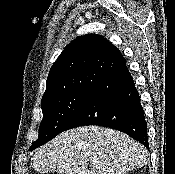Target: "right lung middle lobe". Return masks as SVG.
Masks as SVG:
<instances>
[{"label":"right lung middle lobe","instance_id":"1","mask_svg":"<svg viewBox=\"0 0 175 174\" xmlns=\"http://www.w3.org/2000/svg\"><path fill=\"white\" fill-rule=\"evenodd\" d=\"M91 90L92 88H85L68 91L42 100L43 119L39 127V137L30 150L45 144L65 131Z\"/></svg>","mask_w":175,"mask_h":174}]
</instances>
